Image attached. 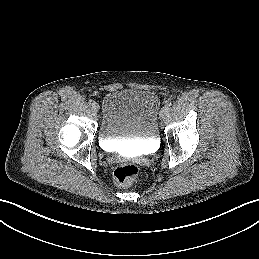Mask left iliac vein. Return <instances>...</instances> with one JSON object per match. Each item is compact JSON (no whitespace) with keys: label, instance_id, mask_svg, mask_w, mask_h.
Wrapping results in <instances>:
<instances>
[{"label":"left iliac vein","instance_id":"1","mask_svg":"<svg viewBox=\"0 0 259 259\" xmlns=\"http://www.w3.org/2000/svg\"><path fill=\"white\" fill-rule=\"evenodd\" d=\"M168 110L169 109L166 106L161 109L160 114H159L160 119L166 118V116L168 114Z\"/></svg>","mask_w":259,"mask_h":259}]
</instances>
